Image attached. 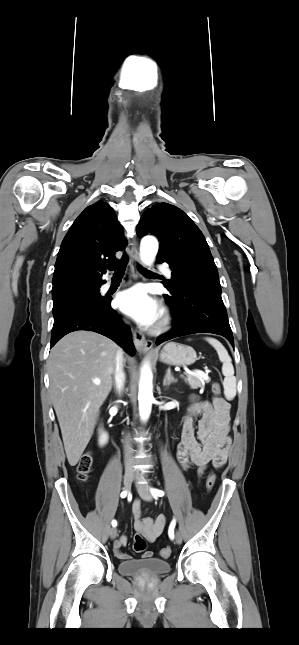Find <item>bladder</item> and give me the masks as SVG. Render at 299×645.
<instances>
[{"instance_id":"1","label":"bladder","mask_w":299,"mask_h":645,"mask_svg":"<svg viewBox=\"0 0 299 645\" xmlns=\"http://www.w3.org/2000/svg\"><path fill=\"white\" fill-rule=\"evenodd\" d=\"M170 570L171 565L167 560L155 557L125 560L118 565L120 574L134 577L160 576Z\"/></svg>"}]
</instances>
